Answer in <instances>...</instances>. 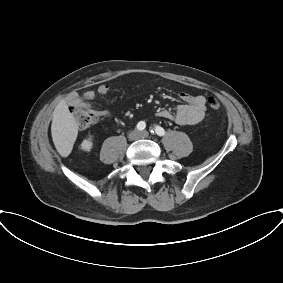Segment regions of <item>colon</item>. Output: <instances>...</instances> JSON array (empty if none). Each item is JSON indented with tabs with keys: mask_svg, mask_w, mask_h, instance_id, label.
<instances>
[{
	"mask_svg": "<svg viewBox=\"0 0 283 283\" xmlns=\"http://www.w3.org/2000/svg\"><path fill=\"white\" fill-rule=\"evenodd\" d=\"M207 104L213 111H218L220 109V102L215 97H209L207 99ZM73 117L77 125L81 128H87L93 125L98 119L97 114L85 106L75 107L73 109Z\"/></svg>",
	"mask_w": 283,
	"mask_h": 283,
	"instance_id": "5ec220e1",
	"label": "colon"
}]
</instances>
